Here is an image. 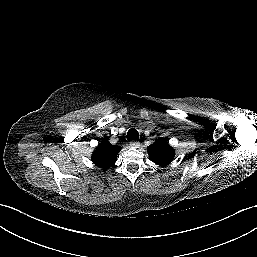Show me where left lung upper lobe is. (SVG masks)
Here are the masks:
<instances>
[{
    "label": "left lung upper lobe",
    "instance_id": "left-lung-upper-lobe-1",
    "mask_svg": "<svg viewBox=\"0 0 257 257\" xmlns=\"http://www.w3.org/2000/svg\"><path fill=\"white\" fill-rule=\"evenodd\" d=\"M147 149L151 161L162 166L169 164L174 157V149L162 138L157 139Z\"/></svg>",
    "mask_w": 257,
    "mask_h": 257
}]
</instances>
